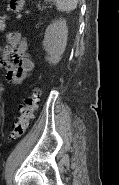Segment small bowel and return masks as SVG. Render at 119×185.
I'll return each instance as SVG.
<instances>
[{"instance_id": "1", "label": "small bowel", "mask_w": 119, "mask_h": 185, "mask_svg": "<svg viewBox=\"0 0 119 185\" xmlns=\"http://www.w3.org/2000/svg\"><path fill=\"white\" fill-rule=\"evenodd\" d=\"M0 66L6 71L7 80L14 84L21 83L33 71L35 65L20 32L6 34V44L0 48Z\"/></svg>"}]
</instances>
